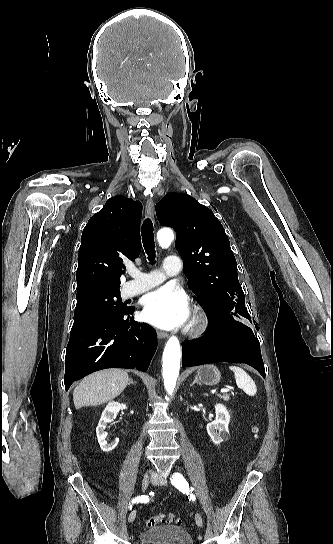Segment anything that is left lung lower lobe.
Masks as SVG:
<instances>
[{
    "mask_svg": "<svg viewBox=\"0 0 333 544\" xmlns=\"http://www.w3.org/2000/svg\"><path fill=\"white\" fill-rule=\"evenodd\" d=\"M182 356L183 367L212 362L246 363L265 378L260 345L252 330L240 323L212 322L202 337L184 342Z\"/></svg>",
    "mask_w": 333,
    "mask_h": 544,
    "instance_id": "obj_1",
    "label": "left lung lower lobe"
}]
</instances>
